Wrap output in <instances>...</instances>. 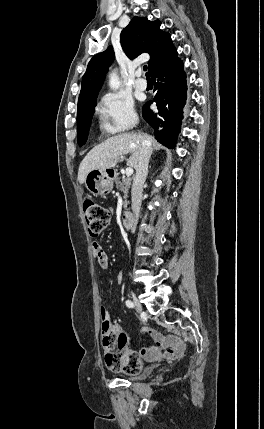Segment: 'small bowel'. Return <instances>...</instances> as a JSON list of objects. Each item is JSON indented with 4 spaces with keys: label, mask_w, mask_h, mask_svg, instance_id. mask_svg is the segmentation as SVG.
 <instances>
[{
    "label": "small bowel",
    "mask_w": 264,
    "mask_h": 429,
    "mask_svg": "<svg viewBox=\"0 0 264 429\" xmlns=\"http://www.w3.org/2000/svg\"><path fill=\"white\" fill-rule=\"evenodd\" d=\"M92 249L99 265L102 268H107L109 265V257L104 248L98 242H94L92 244ZM121 278L122 276L119 274L118 281H120ZM144 333H147L151 336V338L154 340V345L144 347L140 349L138 353L132 350H127L128 354H135L139 357V359L141 357L146 361H156L161 357L168 359L177 358L181 356L185 350L184 342L176 335L163 336L153 329H144Z\"/></svg>",
    "instance_id": "c3829d8e"
}]
</instances>
